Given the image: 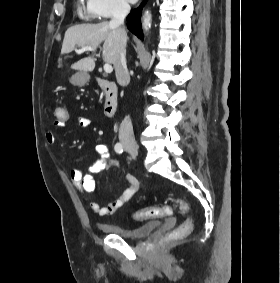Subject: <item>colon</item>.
<instances>
[{"label": "colon", "instance_id": "5ec220e1", "mask_svg": "<svg viewBox=\"0 0 280 283\" xmlns=\"http://www.w3.org/2000/svg\"><path fill=\"white\" fill-rule=\"evenodd\" d=\"M54 119L56 122H67L68 119H72V114L68 111L67 107L63 105H57L54 108ZM179 207L183 214L188 215L190 212L189 205L184 201L177 199L174 203ZM172 213V205H165L162 207H148L144 209L137 210L134 213V218L136 220H143L147 218L165 217ZM193 228V221L190 217H187L174 231H172L169 236H174L177 238L184 237L188 235Z\"/></svg>", "mask_w": 280, "mask_h": 283}]
</instances>
